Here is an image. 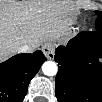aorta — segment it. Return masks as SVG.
<instances>
[{"instance_id": "1", "label": "aorta", "mask_w": 102, "mask_h": 102, "mask_svg": "<svg viewBox=\"0 0 102 102\" xmlns=\"http://www.w3.org/2000/svg\"><path fill=\"white\" fill-rule=\"evenodd\" d=\"M42 71L46 76H54L57 74L58 67L53 61H46L42 65Z\"/></svg>"}]
</instances>
